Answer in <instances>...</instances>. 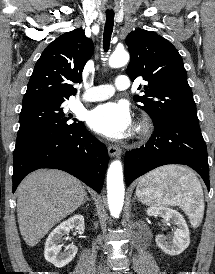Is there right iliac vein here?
Instances as JSON below:
<instances>
[{
  "instance_id": "63e3f726",
  "label": "right iliac vein",
  "mask_w": 215,
  "mask_h": 274,
  "mask_svg": "<svg viewBox=\"0 0 215 274\" xmlns=\"http://www.w3.org/2000/svg\"><path fill=\"white\" fill-rule=\"evenodd\" d=\"M99 274H106V273H104V272H100Z\"/></svg>"
}]
</instances>
